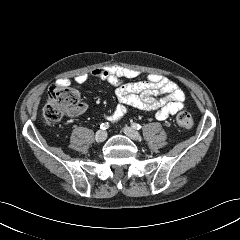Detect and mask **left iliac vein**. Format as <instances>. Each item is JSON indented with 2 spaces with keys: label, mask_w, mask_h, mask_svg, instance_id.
Wrapping results in <instances>:
<instances>
[{
  "label": "left iliac vein",
  "mask_w": 240,
  "mask_h": 240,
  "mask_svg": "<svg viewBox=\"0 0 240 240\" xmlns=\"http://www.w3.org/2000/svg\"><path fill=\"white\" fill-rule=\"evenodd\" d=\"M123 132H124L129 138H131V139H133V140H139V139H140V134H139L136 130H134L133 128H131V127H128V126L124 127V128H123Z\"/></svg>",
  "instance_id": "obj_1"
}]
</instances>
